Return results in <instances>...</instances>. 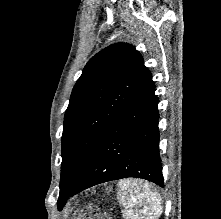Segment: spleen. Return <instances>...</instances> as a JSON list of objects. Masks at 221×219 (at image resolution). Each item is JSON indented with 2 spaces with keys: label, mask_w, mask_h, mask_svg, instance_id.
Masks as SVG:
<instances>
[{
  "label": "spleen",
  "mask_w": 221,
  "mask_h": 219,
  "mask_svg": "<svg viewBox=\"0 0 221 219\" xmlns=\"http://www.w3.org/2000/svg\"><path fill=\"white\" fill-rule=\"evenodd\" d=\"M118 187L125 219H158L161 215L162 198L148 182L124 179L118 182Z\"/></svg>",
  "instance_id": "3e777b00"
}]
</instances>
